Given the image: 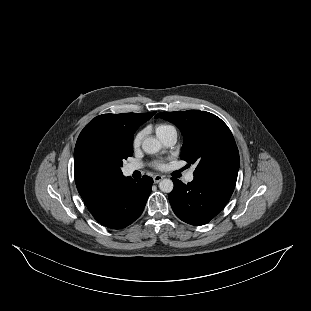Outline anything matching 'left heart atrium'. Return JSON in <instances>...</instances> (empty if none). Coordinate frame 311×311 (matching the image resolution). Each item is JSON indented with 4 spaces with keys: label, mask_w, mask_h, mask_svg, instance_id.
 Segmentation results:
<instances>
[{
    "label": "left heart atrium",
    "mask_w": 311,
    "mask_h": 311,
    "mask_svg": "<svg viewBox=\"0 0 311 311\" xmlns=\"http://www.w3.org/2000/svg\"><path fill=\"white\" fill-rule=\"evenodd\" d=\"M154 169L156 170H165L166 169V164L163 163V162H156L154 165H153Z\"/></svg>",
    "instance_id": "obj_1"
}]
</instances>
